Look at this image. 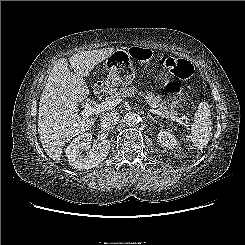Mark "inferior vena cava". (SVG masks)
Segmentation results:
<instances>
[{
    "mask_svg": "<svg viewBox=\"0 0 245 245\" xmlns=\"http://www.w3.org/2000/svg\"><path fill=\"white\" fill-rule=\"evenodd\" d=\"M100 124L105 129H110L116 125L119 121V115L117 113H106L101 117Z\"/></svg>",
    "mask_w": 245,
    "mask_h": 245,
    "instance_id": "602c4592",
    "label": "inferior vena cava"
}]
</instances>
